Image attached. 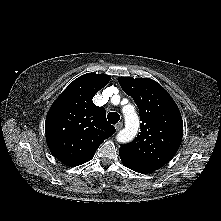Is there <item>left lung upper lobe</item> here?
<instances>
[{
    "instance_id": "5c2ea615",
    "label": "left lung upper lobe",
    "mask_w": 221,
    "mask_h": 221,
    "mask_svg": "<svg viewBox=\"0 0 221 221\" xmlns=\"http://www.w3.org/2000/svg\"><path fill=\"white\" fill-rule=\"evenodd\" d=\"M118 82L134 99L142 121L138 136L121 145L120 158L141 169L155 171L173 158L181 144L183 121L178 106L152 79L120 77Z\"/></svg>"
}]
</instances>
